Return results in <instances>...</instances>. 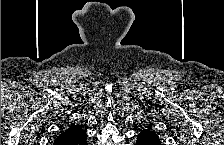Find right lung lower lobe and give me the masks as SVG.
I'll return each instance as SVG.
<instances>
[{
	"label": "right lung lower lobe",
	"instance_id": "1",
	"mask_svg": "<svg viewBox=\"0 0 224 145\" xmlns=\"http://www.w3.org/2000/svg\"><path fill=\"white\" fill-rule=\"evenodd\" d=\"M79 145H84L86 144V139L81 140L80 142H78Z\"/></svg>",
	"mask_w": 224,
	"mask_h": 145
}]
</instances>
